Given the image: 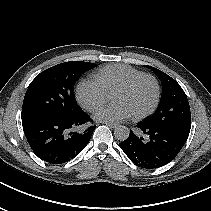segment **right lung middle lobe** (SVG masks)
<instances>
[{
	"label": "right lung middle lobe",
	"mask_w": 211,
	"mask_h": 211,
	"mask_svg": "<svg viewBox=\"0 0 211 211\" xmlns=\"http://www.w3.org/2000/svg\"><path fill=\"white\" fill-rule=\"evenodd\" d=\"M94 67V63L70 61L41 72L30 83L25 94L22 121L82 113L75 100L74 85L84 72Z\"/></svg>",
	"instance_id": "dd1d6c3e"
}]
</instances>
